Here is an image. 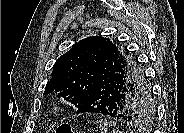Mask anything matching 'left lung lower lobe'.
<instances>
[{"mask_svg":"<svg viewBox=\"0 0 184 133\" xmlns=\"http://www.w3.org/2000/svg\"><path fill=\"white\" fill-rule=\"evenodd\" d=\"M98 66L101 73L89 97L78 108L77 113H98L132 123V116L127 111L130 97L136 89L142 92H149V90L142 84L130 89L120 68L113 60L107 59L105 52L101 53Z\"/></svg>","mask_w":184,"mask_h":133,"instance_id":"obj_1","label":"left lung lower lobe"}]
</instances>
